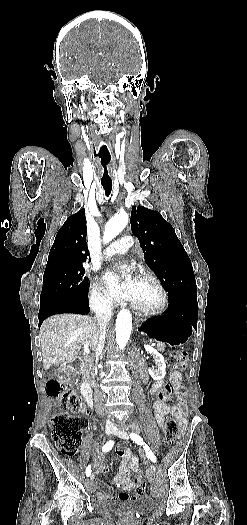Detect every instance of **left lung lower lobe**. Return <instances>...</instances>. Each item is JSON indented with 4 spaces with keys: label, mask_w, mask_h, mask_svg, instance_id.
Segmentation results:
<instances>
[{
    "label": "left lung lower lobe",
    "mask_w": 247,
    "mask_h": 525,
    "mask_svg": "<svg viewBox=\"0 0 247 525\" xmlns=\"http://www.w3.org/2000/svg\"><path fill=\"white\" fill-rule=\"evenodd\" d=\"M197 295H179L174 298H169L168 309L160 318L167 319H183L197 328Z\"/></svg>",
    "instance_id": "0a47b994"
}]
</instances>
